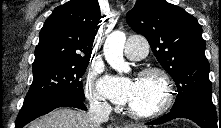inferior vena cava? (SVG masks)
Masks as SVG:
<instances>
[{
    "mask_svg": "<svg viewBox=\"0 0 221 128\" xmlns=\"http://www.w3.org/2000/svg\"><path fill=\"white\" fill-rule=\"evenodd\" d=\"M111 107L105 103H99L97 101H90V108L88 115L93 123L100 124L109 119Z\"/></svg>",
    "mask_w": 221,
    "mask_h": 128,
    "instance_id": "inferior-vena-cava-1",
    "label": "inferior vena cava"
}]
</instances>
